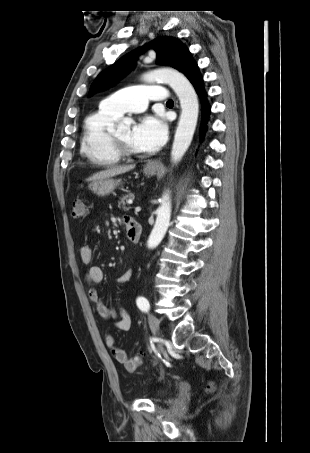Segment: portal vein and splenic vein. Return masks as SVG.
<instances>
[{"label":"portal vein and splenic vein","mask_w":310,"mask_h":453,"mask_svg":"<svg viewBox=\"0 0 310 453\" xmlns=\"http://www.w3.org/2000/svg\"><path fill=\"white\" fill-rule=\"evenodd\" d=\"M128 203H129V204H132V200H129ZM140 210H141V208H140L139 206L135 208V211H136V212H139Z\"/></svg>","instance_id":"18ae733b"}]
</instances>
